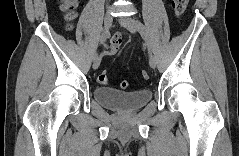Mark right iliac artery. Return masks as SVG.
I'll return each mask as SVG.
<instances>
[{
    "label": "right iliac artery",
    "instance_id": "obj_1",
    "mask_svg": "<svg viewBox=\"0 0 239 156\" xmlns=\"http://www.w3.org/2000/svg\"><path fill=\"white\" fill-rule=\"evenodd\" d=\"M107 37H108V33H102L101 38H100V44H104L106 39H107ZM98 56H99L98 52H96L94 54V59L97 58Z\"/></svg>",
    "mask_w": 239,
    "mask_h": 156
}]
</instances>
